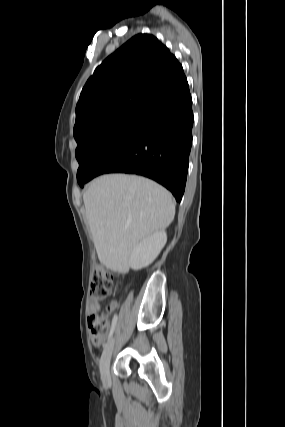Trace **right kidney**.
Here are the masks:
<instances>
[{
  "instance_id": "obj_1",
  "label": "right kidney",
  "mask_w": 285,
  "mask_h": 427,
  "mask_svg": "<svg viewBox=\"0 0 285 427\" xmlns=\"http://www.w3.org/2000/svg\"><path fill=\"white\" fill-rule=\"evenodd\" d=\"M167 242V234L164 230L156 231L145 237L133 249L129 266L133 270H140L149 266L159 255Z\"/></svg>"
}]
</instances>
